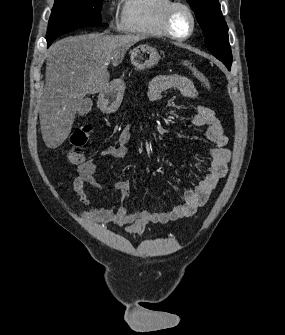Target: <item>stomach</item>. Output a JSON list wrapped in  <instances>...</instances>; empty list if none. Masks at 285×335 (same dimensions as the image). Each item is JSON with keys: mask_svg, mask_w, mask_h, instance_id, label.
<instances>
[{"mask_svg": "<svg viewBox=\"0 0 285 335\" xmlns=\"http://www.w3.org/2000/svg\"><path fill=\"white\" fill-rule=\"evenodd\" d=\"M131 64L136 70H147L153 68L161 60V56L155 48L151 46H137L131 52ZM125 86L122 80H113L107 88L100 94L99 104L105 106L106 110H116L120 106L124 94Z\"/></svg>", "mask_w": 285, "mask_h": 335, "instance_id": "1", "label": "stomach"}]
</instances>
